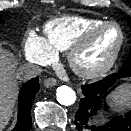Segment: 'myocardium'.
Instances as JSON below:
<instances>
[{
	"label": "myocardium",
	"instance_id": "1",
	"mask_svg": "<svg viewBox=\"0 0 131 131\" xmlns=\"http://www.w3.org/2000/svg\"><path fill=\"white\" fill-rule=\"evenodd\" d=\"M114 26L119 30L120 39L117 47L115 48L112 55L109 59L100 66L86 68L79 64L78 56L79 54L86 48V46L90 43L92 38L102 29ZM125 44V32L120 24L115 21H103L97 25L92 26L87 29L68 49L67 51V60L71 67V69L80 77L86 79H95L104 76L108 73L116 64L122 49Z\"/></svg>",
	"mask_w": 131,
	"mask_h": 131
}]
</instances>
